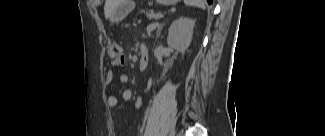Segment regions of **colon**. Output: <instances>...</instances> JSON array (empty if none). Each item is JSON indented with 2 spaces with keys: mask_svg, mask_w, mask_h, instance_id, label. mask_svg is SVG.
Listing matches in <instances>:
<instances>
[{
  "mask_svg": "<svg viewBox=\"0 0 325 136\" xmlns=\"http://www.w3.org/2000/svg\"><path fill=\"white\" fill-rule=\"evenodd\" d=\"M108 55L112 60L122 61L124 60L123 48L117 42H112L108 46Z\"/></svg>",
  "mask_w": 325,
  "mask_h": 136,
  "instance_id": "colon-1",
  "label": "colon"
}]
</instances>
